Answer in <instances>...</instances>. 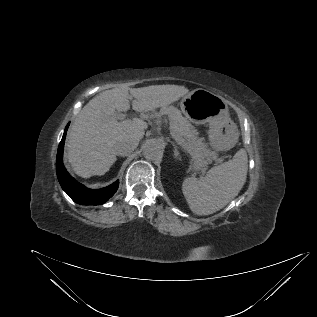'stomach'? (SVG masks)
Listing matches in <instances>:
<instances>
[{
	"mask_svg": "<svg viewBox=\"0 0 317 317\" xmlns=\"http://www.w3.org/2000/svg\"><path fill=\"white\" fill-rule=\"evenodd\" d=\"M181 108L185 114L191 108L203 113L198 121L209 124L208 134L214 149L229 150L238 142V128L230 119L227 104L221 96L198 88L182 99Z\"/></svg>",
	"mask_w": 317,
	"mask_h": 317,
	"instance_id": "stomach-1",
	"label": "stomach"
}]
</instances>
